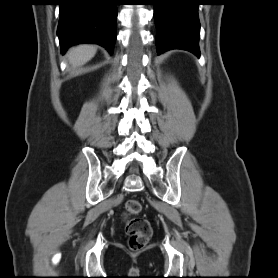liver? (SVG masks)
Segmentation results:
<instances>
[{"instance_id":"liver-1","label":"liver","mask_w":278,"mask_h":278,"mask_svg":"<svg viewBox=\"0 0 278 278\" xmlns=\"http://www.w3.org/2000/svg\"><path fill=\"white\" fill-rule=\"evenodd\" d=\"M95 53L96 48L92 45L83 44L76 46L70 51L69 62L74 66H80L94 57Z\"/></svg>"}]
</instances>
